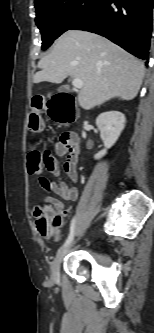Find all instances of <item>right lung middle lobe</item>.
<instances>
[{
	"label": "right lung middle lobe",
	"instance_id": "1",
	"mask_svg": "<svg viewBox=\"0 0 154 333\" xmlns=\"http://www.w3.org/2000/svg\"><path fill=\"white\" fill-rule=\"evenodd\" d=\"M100 0H39L35 2L36 24L42 34V49L71 26L89 16Z\"/></svg>",
	"mask_w": 154,
	"mask_h": 333
}]
</instances>
